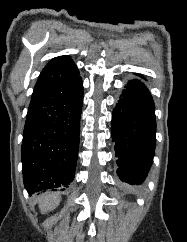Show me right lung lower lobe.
Returning a JSON list of instances; mask_svg holds the SVG:
<instances>
[{"mask_svg":"<svg viewBox=\"0 0 187 242\" xmlns=\"http://www.w3.org/2000/svg\"><path fill=\"white\" fill-rule=\"evenodd\" d=\"M82 104L79 73L65 82L33 91L21 155L24 186L30 195L73 181Z\"/></svg>","mask_w":187,"mask_h":242,"instance_id":"98d812e1","label":"right lung lower lobe"}]
</instances>
